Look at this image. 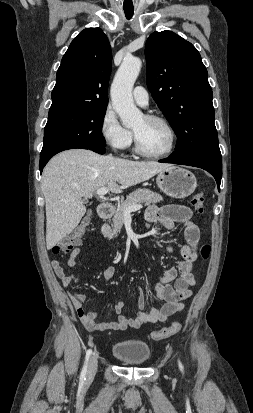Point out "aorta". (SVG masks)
<instances>
[{"label":"aorta","mask_w":253,"mask_h":413,"mask_svg":"<svg viewBox=\"0 0 253 413\" xmlns=\"http://www.w3.org/2000/svg\"><path fill=\"white\" fill-rule=\"evenodd\" d=\"M142 62L137 57H127L121 63L111 85V100L123 126L131 128L143 117L135 106L132 96L134 83L140 73Z\"/></svg>","instance_id":"obj_1"}]
</instances>
